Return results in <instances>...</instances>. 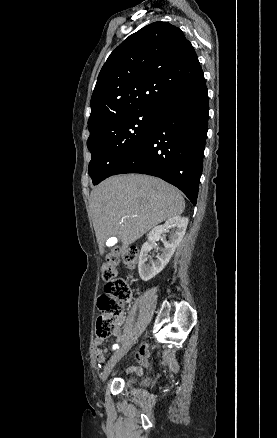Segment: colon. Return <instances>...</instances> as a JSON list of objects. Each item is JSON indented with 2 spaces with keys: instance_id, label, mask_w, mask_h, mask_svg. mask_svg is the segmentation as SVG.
<instances>
[{
  "instance_id": "colon-1",
  "label": "colon",
  "mask_w": 277,
  "mask_h": 438,
  "mask_svg": "<svg viewBox=\"0 0 277 438\" xmlns=\"http://www.w3.org/2000/svg\"><path fill=\"white\" fill-rule=\"evenodd\" d=\"M140 256L139 248H126L125 252L118 250L108 254L104 263L100 266L101 279L108 283V289L102 286L99 292L108 296L95 298L94 304L99 307V318L94 321V342H103V339L110 336L123 322L124 302L130 298L129 287L117 277V264L120 261H128L133 264L134 257Z\"/></svg>"
}]
</instances>
